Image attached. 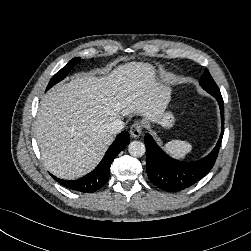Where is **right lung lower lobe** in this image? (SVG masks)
Masks as SVG:
<instances>
[{
	"label": "right lung lower lobe",
	"mask_w": 251,
	"mask_h": 251,
	"mask_svg": "<svg viewBox=\"0 0 251 251\" xmlns=\"http://www.w3.org/2000/svg\"><path fill=\"white\" fill-rule=\"evenodd\" d=\"M130 141L127 131L121 132L111 144L102 161L89 174L77 180H63L51 175L62 186L78 192L92 193L102 188L109 179L110 167L114 158Z\"/></svg>",
	"instance_id": "1"
}]
</instances>
